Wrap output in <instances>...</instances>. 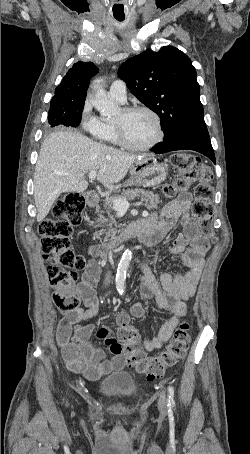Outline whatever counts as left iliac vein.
Returning a JSON list of instances; mask_svg holds the SVG:
<instances>
[{"mask_svg":"<svg viewBox=\"0 0 250 454\" xmlns=\"http://www.w3.org/2000/svg\"><path fill=\"white\" fill-rule=\"evenodd\" d=\"M158 408L162 413L167 412V397H166L165 392H162L160 394L159 401H158Z\"/></svg>","mask_w":250,"mask_h":454,"instance_id":"obj_1","label":"left iliac vein"}]
</instances>
